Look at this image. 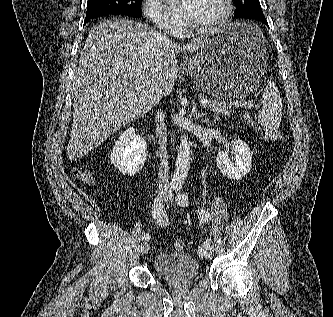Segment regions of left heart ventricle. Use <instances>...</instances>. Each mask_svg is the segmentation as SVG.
I'll return each mask as SVG.
<instances>
[{
    "instance_id": "obj_1",
    "label": "left heart ventricle",
    "mask_w": 333,
    "mask_h": 317,
    "mask_svg": "<svg viewBox=\"0 0 333 317\" xmlns=\"http://www.w3.org/2000/svg\"><path fill=\"white\" fill-rule=\"evenodd\" d=\"M220 9L219 0H197L195 15L190 25L195 27L207 25L217 17Z\"/></svg>"
}]
</instances>
